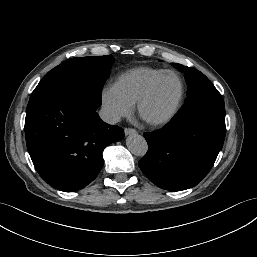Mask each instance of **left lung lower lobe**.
I'll use <instances>...</instances> for the list:
<instances>
[{"label":"left lung lower lobe","mask_w":257,"mask_h":257,"mask_svg":"<svg viewBox=\"0 0 257 257\" xmlns=\"http://www.w3.org/2000/svg\"><path fill=\"white\" fill-rule=\"evenodd\" d=\"M225 132L223 99L180 109L162 129L144 133L148 152L139 161V167L160 188H191L212 168Z\"/></svg>","instance_id":"0a47b994"}]
</instances>
